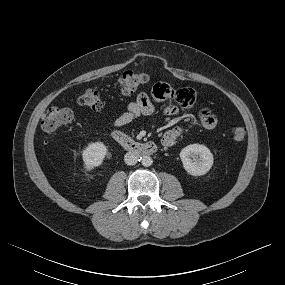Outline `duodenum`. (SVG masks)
Returning a JSON list of instances; mask_svg holds the SVG:
<instances>
[{
  "label": "duodenum",
  "instance_id": "duodenum-1",
  "mask_svg": "<svg viewBox=\"0 0 285 285\" xmlns=\"http://www.w3.org/2000/svg\"><path fill=\"white\" fill-rule=\"evenodd\" d=\"M112 138L125 150L138 155L148 156L156 153L159 146L154 142H137L120 130H114L111 133Z\"/></svg>",
  "mask_w": 285,
  "mask_h": 285
}]
</instances>
